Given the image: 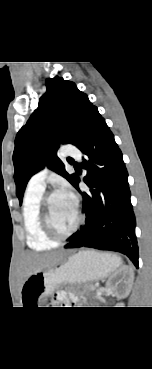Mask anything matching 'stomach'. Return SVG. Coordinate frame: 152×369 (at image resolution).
<instances>
[{"label":"stomach","instance_id":"obj_1","mask_svg":"<svg viewBox=\"0 0 152 369\" xmlns=\"http://www.w3.org/2000/svg\"><path fill=\"white\" fill-rule=\"evenodd\" d=\"M120 265V258L95 251H81L64 264L48 271L31 274L23 283L22 299L35 303L51 295L62 283H85L110 275Z\"/></svg>","mask_w":152,"mask_h":369}]
</instances>
